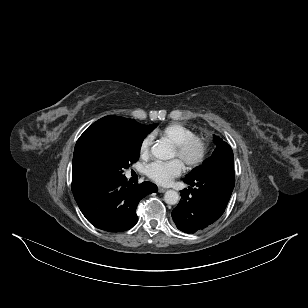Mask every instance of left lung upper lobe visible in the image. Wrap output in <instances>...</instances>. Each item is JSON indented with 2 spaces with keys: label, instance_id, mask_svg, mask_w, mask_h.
<instances>
[{
  "label": "left lung upper lobe",
  "instance_id": "1",
  "mask_svg": "<svg viewBox=\"0 0 308 308\" xmlns=\"http://www.w3.org/2000/svg\"><path fill=\"white\" fill-rule=\"evenodd\" d=\"M214 142L216 144V149L211 157L207 158L201 166L196 167L191 173L187 175L186 178H192L198 175L203 170L210 168L214 165L224 163V162H234L233 151L230 145L224 142L220 137L214 135Z\"/></svg>",
  "mask_w": 308,
  "mask_h": 308
}]
</instances>
